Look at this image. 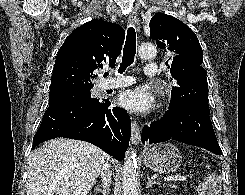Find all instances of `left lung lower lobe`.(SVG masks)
Masks as SVG:
<instances>
[{"label":"left lung lower lobe","mask_w":245,"mask_h":195,"mask_svg":"<svg viewBox=\"0 0 245 195\" xmlns=\"http://www.w3.org/2000/svg\"><path fill=\"white\" fill-rule=\"evenodd\" d=\"M209 115V109L197 105L169 107L159 121L145 126L141 139L149 144L176 140L222 155Z\"/></svg>","instance_id":"obj_1"}]
</instances>
